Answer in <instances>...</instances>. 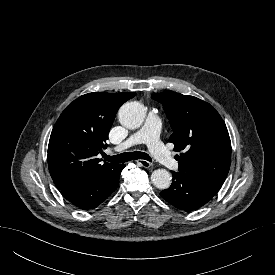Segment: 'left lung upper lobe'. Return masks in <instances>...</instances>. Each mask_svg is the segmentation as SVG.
I'll list each match as a JSON object with an SVG mask.
<instances>
[{"label":"left lung upper lobe","mask_w":275,"mask_h":275,"mask_svg":"<svg viewBox=\"0 0 275 275\" xmlns=\"http://www.w3.org/2000/svg\"><path fill=\"white\" fill-rule=\"evenodd\" d=\"M163 105L173 134L169 142L175 151L179 171L222 185L231 162V142L219 113L193 96L165 91L152 95Z\"/></svg>","instance_id":"obj_1"}]
</instances>
